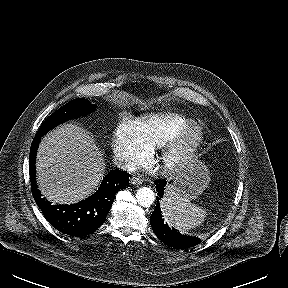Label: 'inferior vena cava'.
I'll return each mask as SVG.
<instances>
[{
    "instance_id": "602c4592",
    "label": "inferior vena cava",
    "mask_w": 288,
    "mask_h": 288,
    "mask_svg": "<svg viewBox=\"0 0 288 288\" xmlns=\"http://www.w3.org/2000/svg\"><path fill=\"white\" fill-rule=\"evenodd\" d=\"M114 164L121 170L127 171V172H134L137 170V164L132 161L130 158L126 159H115Z\"/></svg>"
}]
</instances>
